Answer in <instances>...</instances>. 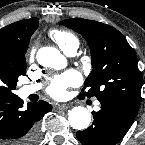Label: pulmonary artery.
<instances>
[{
	"instance_id": "obj_1",
	"label": "pulmonary artery",
	"mask_w": 145,
	"mask_h": 145,
	"mask_svg": "<svg viewBox=\"0 0 145 145\" xmlns=\"http://www.w3.org/2000/svg\"><path fill=\"white\" fill-rule=\"evenodd\" d=\"M77 48H78L77 45H69V46L63 47L61 49L63 50V52L66 55L74 56L77 52ZM40 88H41V85L37 84V83L33 84V85H25L19 89V94L21 97L25 98V97L37 92ZM98 106H99V102L97 101L95 103L96 109L98 108Z\"/></svg>"
}]
</instances>
